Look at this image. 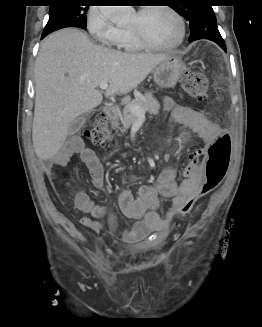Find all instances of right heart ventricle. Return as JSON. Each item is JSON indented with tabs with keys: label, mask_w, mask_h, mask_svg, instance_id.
<instances>
[{
	"label": "right heart ventricle",
	"mask_w": 262,
	"mask_h": 327,
	"mask_svg": "<svg viewBox=\"0 0 262 327\" xmlns=\"http://www.w3.org/2000/svg\"><path fill=\"white\" fill-rule=\"evenodd\" d=\"M121 39L119 47L130 52H136L142 50L144 47L136 40L134 35L128 28H120Z\"/></svg>",
	"instance_id": "obj_1"
}]
</instances>
